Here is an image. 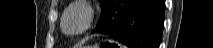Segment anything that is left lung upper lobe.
Masks as SVG:
<instances>
[{"label": "left lung upper lobe", "instance_id": "obj_1", "mask_svg": "<svg viewBox=\"0 0 213 48\" xmlns=\"http://www.w3.org/2000/svg\"><path fill=\"white\" fill-rule=\"evenodd\" d=\"M99 1L101 3V8H102V12H103V10L107 7L110 0H99Z\"/></svg>", "mask_w": 213, "mask_h": 48}]
</instances>
